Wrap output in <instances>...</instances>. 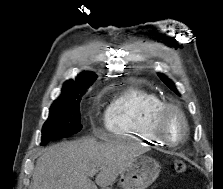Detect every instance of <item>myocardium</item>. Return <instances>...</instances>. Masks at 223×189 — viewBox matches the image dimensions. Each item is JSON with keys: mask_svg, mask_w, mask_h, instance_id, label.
Instances as JSON below:
<instances>
[{"mask_svg": "<svg viewBox=\"0 0 223 189\" xmlns=\"http://www.w3.org/2000/svg\"><path fill=\"white\" fill-rule=\"evenodd\" d=\"M171 114L178 115L183 123V134L177 141H171L165 135V122L167 117ZM152 130L163 143L169 146H178L188 137L189 123L185 113L180 107L174 104L164 103L154 115Z\"/></svg>", "mask_w": 223, "mask_h": 189, "instance_id": "1", "label": "myocardium"}]
</instances>
